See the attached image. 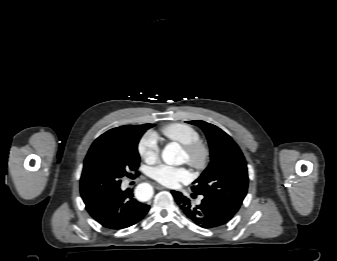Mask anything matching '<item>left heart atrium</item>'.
<instances>
[{"instance_id": "left-heart-atrium-1", "label": "left heart atrium", "mask_w": 337, "mask_h": 261, "mask_svg": "<svg viewBox=\"0 0 337 261\" xmlns=\"http://www.w3.org/2000/svg\"><path fill=\"white\" fill-rule=\"evenodd\" d=\"M149 174L155 181L168 187H175L191 179L190 172L186 168L165 164L151 168Z\"/></svg>"}]
</instances>
